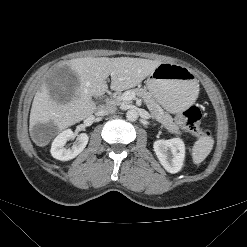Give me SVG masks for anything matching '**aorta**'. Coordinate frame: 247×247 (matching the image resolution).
Instances as JSON below:
<instances>
[{
    "label": "aorta",
    "mask_w": 247,
    "mask_h": 247,
    "mask_svg": "<svg viewBox=\"0 0 247 247\" xmlns=\"http://www.w3.org/2000/svg\"><path fill=\"white\" fill-rule=\"evenodd\" d=\"M138 117H139V114L135 109H130L126 112V118L129 121L134 122L138 119Z\"/></svg>",
    "instance_id": "aorta-1"
}]
</instances>
